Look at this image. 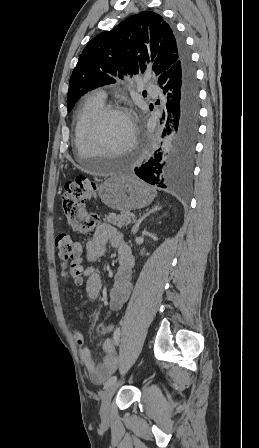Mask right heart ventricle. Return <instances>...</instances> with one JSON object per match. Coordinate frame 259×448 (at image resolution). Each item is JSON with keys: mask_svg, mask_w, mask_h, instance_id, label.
Segmentation results:
<instances>
[{"mask_svg": "<svg viewBox=\"0 0 259 448\" xmlns=\"http://www.w3.org/2000/svg\"><path fill=\"white\" fill-rule=\"evenodd\" d=\"M104 106V101L99 99L96 94L90 93L84 99L82 107L78 112L73 132L74 148H81L83 152V131L88 121Z\"/></svg>", "mask_w": 259, "mask_h": 448, "instance_id": "obj_1", "label": "right heart ventricle"}]
</instances>
